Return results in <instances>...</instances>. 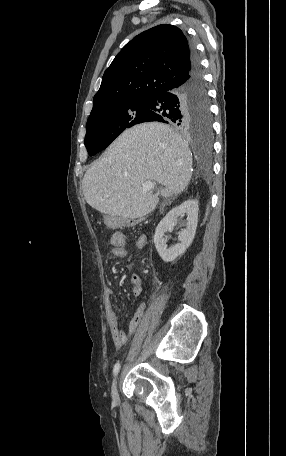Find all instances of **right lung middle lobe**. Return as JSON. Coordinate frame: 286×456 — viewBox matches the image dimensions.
Listing matches in <instances>:
<instances>
[{"label":"right lung middle lobe","mask_w":286,"mask_h":456,"mask_svg":"<svg viewBox=\"0 0 286 456\" xmlns=\"http://www.w3.org/2000/svg\"><path fill=\"white\" fill-rule=\"evenodd\" d=\"M150 114L149 106L144 98H130L106 105L89 116L85 146L90 156L105 149L125 129L135 124L145 122ZM188 129L203 133L210 137L211 117L203 124H197Z\"/></svg>","instance_id":"dd1d6c3e"}]
</instances>
